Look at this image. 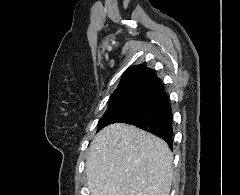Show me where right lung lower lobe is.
Masks as SVG:
<instances>
[{"label":"right lung lower lobe","instance_id":"obj_1","mask_svg":"<svg viewBox=\"0 0 240 195\" xmlns=\"http://www.w3.org/2000/svg\"><path fill=\"white\" fill-rule=\"evenodd\" d=\"M118 122L151 132L165 140L172 148V109L162 84L150 91L139 107Z\"/></svg>","mask_w":240,"mask_h":195}]
</instances>
